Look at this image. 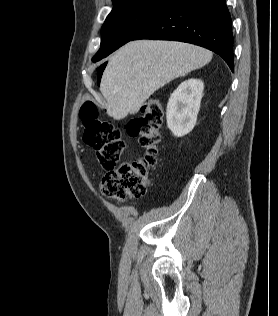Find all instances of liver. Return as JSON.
Wrapping results in <instances>:
<instances>
[{
	"mask_svg": "<svg viewBox=\"0 0 278 316\" xmlns=\"http://www.w3.org/2000/svg\"><path fill=\"white\" fill-rule=\"evenodd\" d=\"M212 52L175 41H132L109 59L100 91L116 120L136 114L159 88L208 64Z\"/></svg>",
	"mask_w": 278,
	"mask_h": 316,
	"instance_id": "obj_1",
	"label": "liver"
}]
</instances>
